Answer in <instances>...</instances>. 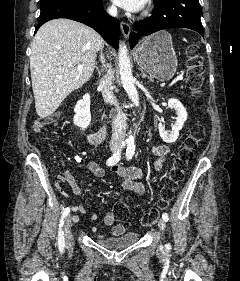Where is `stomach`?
<instances>
[{
  "label": "stomach",
  "instance_id": "obj_1",
  "mask_svg": "<svg viewBox=\"0 0 240 281\" xmlns=\"http://www.w3.org/2000/svg\"><path fill=\"white\" fill-rule=\"evenodd\" d=\"M135 59L141 69L157 80L171 79L177 69L171 35L160 31L149 36L136 48Z\"/></svg>",
  "mask_w": 240,
  "mask_h": 281
}]
</instances>
